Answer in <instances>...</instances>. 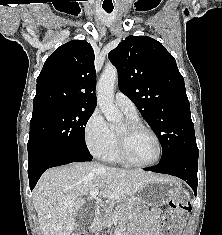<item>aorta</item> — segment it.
Returning a JSON list of instances; mask_svg holds the SVG:
<instances>
[{
    "mask_svg": "<svg viewBox=\"0 0 222 235\" xmlns=\"http://www.w3.org/2000/svg\"><path fill=\"white\" fill-rule=\"evenodd\" d=\"M116 80V68L107 66L98 82V105L107 121L112 124H118L122 120V114L114 104V85Z\"/></svg>",
    "mask_w": 222,
    "mask_h": 235,
    "instance_id": "aorta-1",
    "label": "aorta"
}]
</instances>
